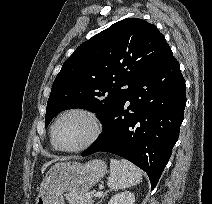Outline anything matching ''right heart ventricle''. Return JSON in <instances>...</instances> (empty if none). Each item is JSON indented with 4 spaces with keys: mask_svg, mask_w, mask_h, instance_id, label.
<instances>
[{
    "mask_svg": "<svg viewBox=\"0 0 212 204\" xmlns=\"http://www.w3.org/2000/svg\"><path fill=\"white\" fill-rule=\"evenodd\" d=\"M51 143H52V140H51ZM52 146H53V148H54V149H57V148L54 146V144H53V143H52Z\"/></svg>",
    "mask_w": 212,
    "mask_h": 204,
    "instance_id": "right-heart-ventricle-1",
    "label": "right heart ventricle"
}]
</instances>
